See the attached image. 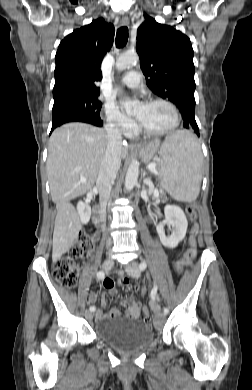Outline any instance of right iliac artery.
<instances>
[{
    "instance_id": "right-iliac-artery-1",
    "label": "right iliac artery",
    "mask_w": 252,
    "mask_h": 390,
    "mask_svg": "<svg viewBox=\"0 0 252 390\" xmlns=\"http://www.w3.org/2000/svg\"><path fill=\"white\" fill-rule=\"evenodd\" d=\"M97 273H98L97 278H98L99 280H103V279L105 278V273H104L103 271H99V272H97ZM89 309H90L91 312H94V311H95V307H94V306H91Z\"/></svg>"
}]
</instances>
